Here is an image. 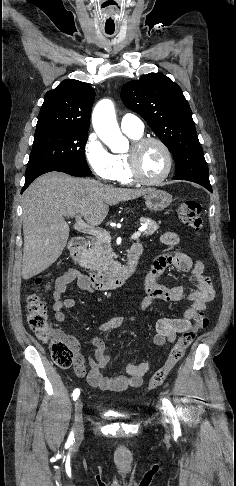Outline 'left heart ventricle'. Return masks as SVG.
I'll list each match as a JSON object with an SVG mask.
<instances>
[{"label":"left heart ventricle","instance_id":"b2bd125f","mask_svg":"<svg viewBox=\"0 0 236 486\" xmlns=\"http://www.w3.org/2000/svg\"><path fill=\"white\" fill-rule=\"evenodd\" d=\"M139 168L147 179L160 177L166 168V157L160 146L149 144L139 154Z\"/></svg>","mask_w":236,"mask_h":486}]
</instances>
